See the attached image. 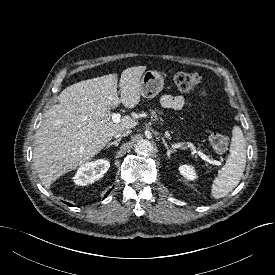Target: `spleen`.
Listing matches in <instances>:
<instances>
[{
    "instance_id": "obj_1",
    "label": "spleen",
    "mask_w": 275,
    "mask_h": 275,
    "mask_svg": "<svg viewBox=\"0 0 275 275\" xmlns=\"http://www.w3.org/2000/svg\"><path fill=\"white\" fill-rule=\"evenodd\" d=\"M230 154L225 165L213 180L211 195L220 199L228 195L240 182L246 166V144L243 132L239 126L232 131Z\"/></svg>"
}]
</instances>
